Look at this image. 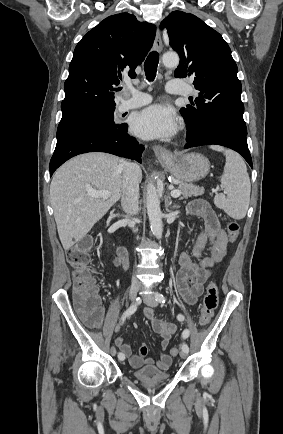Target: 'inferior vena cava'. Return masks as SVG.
<instances>
[{
    "mask_svg": "<svg viewBox=\"0 0 283 434\" xmlns=\"http://www.w3.org/2000/svg\"><path fill=\"white\" fill-rule=\"evenodd\" d=\"M122 196L121 205L123 211L128 215H135L139 211L138 199H139V180L138 174L140 167L135 163L124 161L122 163ZM133 231L134 225H132ZM133 283H137V279L133 276Z\"/></svg>",
    "mask_w": 283,
    "mask_h": 434,
    "instance_id": "1",
    "label": "inferior vena cava"
}]
</instances>
